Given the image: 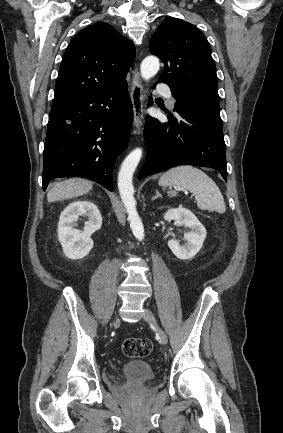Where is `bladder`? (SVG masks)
Instances as JSON below:
<instances>
[{"label":"bladder","mask_w":283,"mask_h":433,"mask_svg":"<svg viewBox=\"0 0 283 433\" xmlns=\"http://www.w3.org/2000/svg\"><path fill=\"white\" fill-rule=\"evenodd\" d=\"M121 373L124 379H139L143 382H151L155 378V370L151 364L141 361L129 362L122 366Z\"/></svg>","instance_id":"31cf9c89"}]
</instances>
